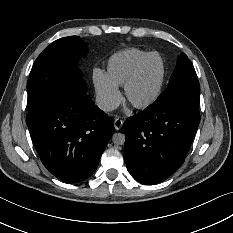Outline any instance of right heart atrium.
Instances as JSON below:
<instances>
[{
	"label": "right heart atrium",
	"mask_w": 233,
	"mask_h": 233,
	"mask_svg": "<svg viewBox=\"0 0 233 233\" xmlns=\"http://www.w3.org/2000/svg\"><path fill=\"white\" fill-rule=\"evenodd\" d=\"M93 83L99 108L107 113L115 110L122 100L119 88L99 68L93 70Z\"/></svg>",
	"instance_id": "obj_1"
}]
</instances>
